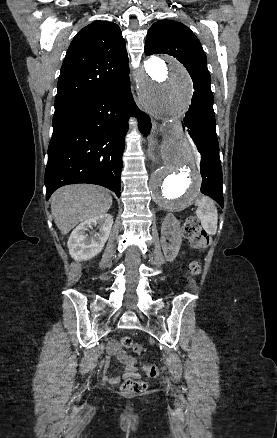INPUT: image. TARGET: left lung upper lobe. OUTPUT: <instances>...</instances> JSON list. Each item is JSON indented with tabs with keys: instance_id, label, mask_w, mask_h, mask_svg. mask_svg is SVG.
Listing matches in <instances>:
<instances>
[{
	"instance_id": "5c2ea615",
	"label": "left lung upper lobe",
	"mask_w": 277,
	"mask_h": 438,
	"mask_svg": "<svg viewBox=\"0 0 277 438\" xmlns=\"http://www.w3.org/2000/svg\"><path fill=\"white\" fill-rule=\"evenodd\" d=\"M160 53L176 57L189 72L195 90L192 102L201 105L213 103L205 53L199 40L187 26L173 20L154 23L147 33L145 54Z\"/></svg>"
}]
</instances>
